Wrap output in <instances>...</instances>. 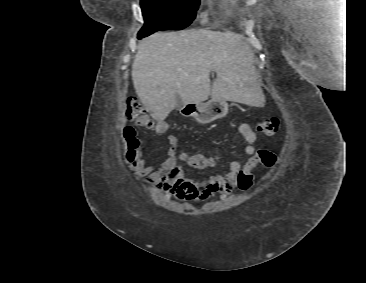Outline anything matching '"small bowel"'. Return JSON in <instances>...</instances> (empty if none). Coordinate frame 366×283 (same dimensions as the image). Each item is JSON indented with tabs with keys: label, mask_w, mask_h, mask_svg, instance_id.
Instances as JSON below:
<instances>
[{
	"label": "small bowel",
	"mask_w": 366,
	"mask_h": 283,
	"mask_svg": "<svg viewBox=\"0 0 366 283\" xmlns=\"http://www.w3.org/2000/svg\"><path fill=\"white\" fill-rule=\"evenodd\" d=\"M238 130L244 137V152L250 156L248 160L250 161L256 154L257 136L247 123H241ZM168 144L167 158L159 167L147 165L140 149L133 153L130 163L137 174L146 178L149 186L169 197L185 202H202L217 193H230L237 186L238 175L248 162L242 165L239 161H231L225 173L215 174L204 180H194L187 175L186 170L179 164L177 137L169 135ZM195 156L199 157L200 155ZM184 158L190 164V157L184 156ZM204 159L206 164L196 168L213 166V158L204 157Z\"/></svg>",
	"instance_id": "1"
}]
</instances>
